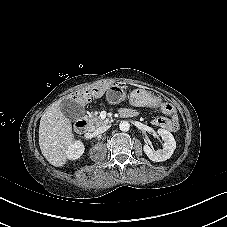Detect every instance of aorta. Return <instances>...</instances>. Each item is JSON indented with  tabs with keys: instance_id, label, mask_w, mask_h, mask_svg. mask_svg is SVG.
<instances>
[{
	"instance_id": "762f6f07",
	"label": "aorta",
	"mask_w": 227,
	"mask_h": 227,
	"mask_svg": "<svg viewBox=\"0 0 227 227\" xmlns=\"http://www.w3.org/2000/svg\"><path fill=\"white\" fill-rule=\"evenodd\" d=\"M119 128L121 131L126 132L130 129V124L127 121H121Z\"/></svg>"
}]
</instances>
